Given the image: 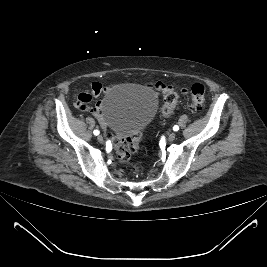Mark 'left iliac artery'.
<instances>
[{
  "label": "left iliac artery",
  "mask_w": 267,
  "mask_h": 267,
  "mask_svg": "<svg viewBox=\"0 0 267 267\" xmlns=\"http://www.w3.org/2000/svg\"><path fill=\"white\" fill-rule=\"evenodd\" d=\"M173 130H174V131H178V130H179V127H178L177 125H175V126L173 127Z\"/></svg>",
  "instance_id": "1"
}]
</instances>
